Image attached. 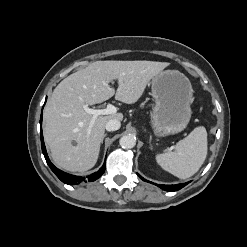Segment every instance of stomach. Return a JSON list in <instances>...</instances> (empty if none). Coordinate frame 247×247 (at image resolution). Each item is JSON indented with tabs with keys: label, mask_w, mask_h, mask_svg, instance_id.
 <instances>
[{
	"label": "stomach",
	"mask_w": 247,
	"mask_h": 247,
	"mask_svg": "<svg viewBox=\"0 0 247 247\" xmlns=\"http://www.w3.org/2000/svg\"><path fill=\"white\" fill-rule=\"evenodd\" d=\"M152 127L159 137L183 131L191 118L193 89L189 79L178 70H164L152 80Z\"/></svg>",
	"instance_id": "obj_1"
}]
</instances>
